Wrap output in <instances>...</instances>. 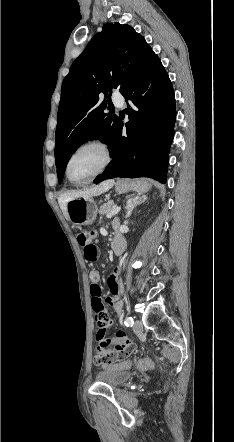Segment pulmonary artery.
I'll use <instances>...</instances> for the list:
<instances>
[{
    "label": "pulmonary artery",
    "mask_w": 234,
    "mask_h": 442,
    "mask_svg": "<svg viewBox=\"0 0 234 442\" xmlns=\"http://www.w3.org/2000/svg\"><path fill=\"white\" fill-rule=\"evenodd\" d=\"M112 101H113V103H114L115 105H117L118 107H123V105H124V99H123V97L120 96V95H115V96H113Z\"/></svg>",
    "instance_id": "e3ab8cb5"
}]
</instances>
